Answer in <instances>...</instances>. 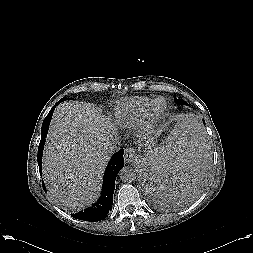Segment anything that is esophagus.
Listing matches in <instances>:
<instances>
[{
	"label": "esophagus",
	"instance_id": "esophagus-1",
	"mask_svg": "<svg viewBox=\"0 0 253 253\" xmlns=\"http://www.w3.org/2000/svg\"><path fill=\"white\" fill-rule=\"evenodd\" d=\"M136 152L133 148H126L124 154V160L126 163H132L136 160Z\"/></svg>",
	"mask_w": 253,
	"mask_h": 253
}]
</instances>
